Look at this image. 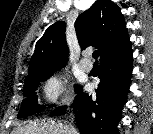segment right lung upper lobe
<instances>
[{
    "label": "right lung upper lobe",
    "instance_id": "obj_1",
    "mask_svg": "<svg viewBox=\"0 0 153 134\" xmlns=\"http://www.w3.org/2000/svg\"><path fill=\"white\" fill-rule=\"evenodd\" d=\"M65 28V22L61 21L46 29L35 45L29 76L65 66L69 54ZM75 29L81 49L95 46L101 56L129 41L120 8L110 0H97L77 18Z\"/></svg>",
    "mask_w": 153,
    "mask_h": 134
}]
</instances>
